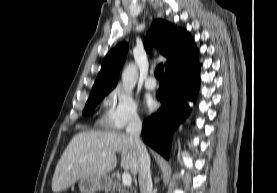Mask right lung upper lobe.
Wrapping results in <instances>:
<instances>
[{
	"mask_svg": "<svg viewBox=\"0 0 277 193\" xmlns=\"http://www.w3.org/2000/svg\"><path fill=\"white\" fill-rule=\"evenodd\" d=\"M144 45L147 51L151 50L152 45L159 48L161 54L167 57L166 69L196 50L193 39L186 30L179 29L162 19H157L152 23ZM127 50L128 45L123 43L117 45L107 54L91 94L111 91L116 86L118 73L125 62Z\"/></svg>",
	"mask_w": 277,
	"mask_h": 193,
	"instance_id": "right-lung-upper-lobe-1",
	"label": "right lung upper lobe"
}]
</instances>
